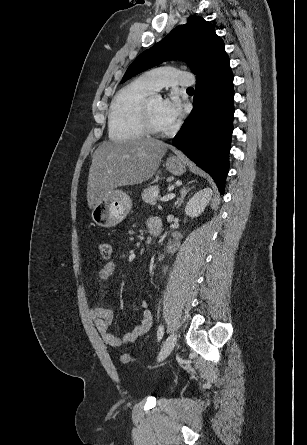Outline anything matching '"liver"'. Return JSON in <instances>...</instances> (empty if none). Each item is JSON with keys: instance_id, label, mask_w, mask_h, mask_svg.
Instances as JSON below:
<instances>
[{"instance_id": "6515ba94", "label": "liver", "mask_w": 307, "mask_h": 445, "mask_svg": "<svg viewBox=\"0 0 307 445\" xmlns=\"http://www.w3.org/2000/svg\"><path fill=\"white\" fill-rule=\"evenodd\" d=\"M168 146L162 140L141 138L127 142L103 140L96 148L87 182V202L94 208L117 186L141 184L156 172Z\"/></svg>"}]
</instances>
